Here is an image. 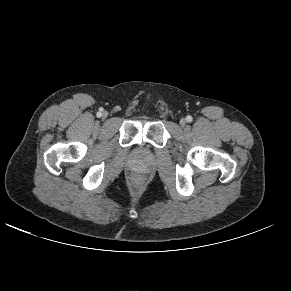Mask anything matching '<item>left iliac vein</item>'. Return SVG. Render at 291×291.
<instances>
[{
    "mask_svg": "<svg viewBox=\"0 0 291 291\" xmlns=\"http://www.w3.org/2000/svg\"><path fill=\"white\" fill-rule=\"evenodd\" d=\"M180 125H181L182 127H185V126H186V120H185V119H181V120H180Z\"/></svg>",
    "mask_w": 291,
    "mask_h": 291,
    "instance_id": "1",
    "label": "left iliac vein"
}]
</instances>
